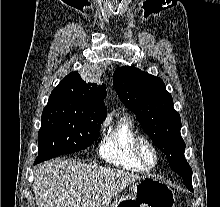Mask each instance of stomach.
Instances as JSON below:
<instances>
[{"label": "stomach", "mask_w": 220, "mask_h": 207, "mask_svg": "<svg viewBox=\"0 0 220 207\" xmlns=\"http://www.w3.org/2000/svg\"><path fill=\"white\" fill-rule=\"evenodd\" d=\"M131 193L116 199L110 207H174L173 190L163 181L144 176L133 183Z\"/></svg>", "instance_id": "obj_1"}]
</instances>
